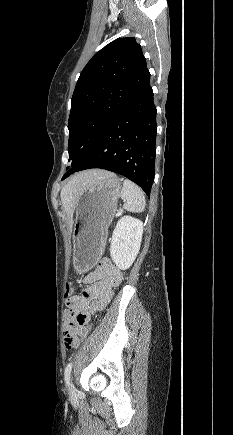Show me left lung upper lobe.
Instances as JSON below:
<instances>
[{
	"instance_id": "left-lung-upper-lobe-1",
	"label": "left lung upper lobe",
	"mask_w": 233,
	"mask_h": 435,
	"mask_svg": "<svg viewBox=\"0 0 233 435\" xmlns=\"http://www.w3.org/2000/svg\"><path fill=\"white\" fill-rule=\"evenodd\" d=\"M149 83L146 59L133 37L114 40L90 59L71 100L68 152L72 167L87 157Z\"/></svg>"
}]
</instances>
